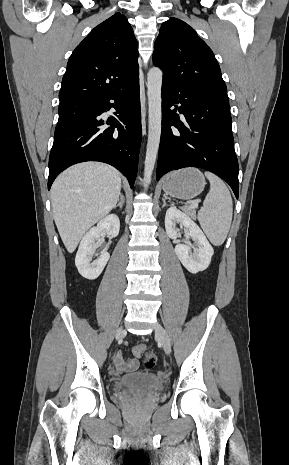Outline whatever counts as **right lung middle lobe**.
<instances>
[{"instance_id":"obj_1","label":"right lung middle lobe","mask_w":289,"mask_h":465,"mask_svg":"<svg viewBox=\"0 0 289 465\" xmlns=\"http://www.w3.org/2000/svg\"><path fill=\"white\" fill-rule=\"evenodd\" d=\"M90 103L91 101H80L59 105V120L56 128L87 115L89 113Z\"/></svg>"}]
</instances>
